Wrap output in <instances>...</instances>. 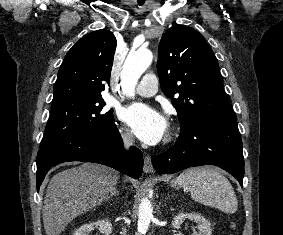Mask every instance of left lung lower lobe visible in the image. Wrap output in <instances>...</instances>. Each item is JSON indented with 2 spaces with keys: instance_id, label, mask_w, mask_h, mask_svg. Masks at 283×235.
<instances>
[{
  "instance_id": "obj_1",
  "label": "left lung lower lobe",
  "mask_w": 283,
  "mask_h": 235,
  "mask_svg": "<svg viewBox=\"0 0 283 235\" xmlns=\"http://www.w3.org/2000/svg\"><path fill=\"white\" fill-rule=\"evenodd\" d=\"M159 174H172L188 167L216 165L229 172L242 185L244 158L236 118L202 123L181 131L176 144L153 155Z\"/></svg>"
}]
</instances>
